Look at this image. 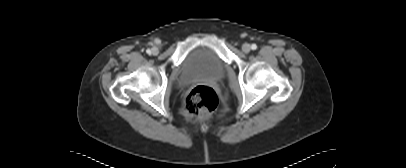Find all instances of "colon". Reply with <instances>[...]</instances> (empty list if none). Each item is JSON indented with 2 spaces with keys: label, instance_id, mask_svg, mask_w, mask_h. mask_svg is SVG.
<instances>
[{
  "label": "colon",
  "instance_id": "5ec220e1",
  "mask_svg": "<svg viewBox=\"0 0 406 168\" xmlns=\"http://www.w3.org/2000/svg\"><path fill=\"white\" fill-rule=\"evenodd\" d=\"M218 105L216 92L211 86L197 85L184 102V114L188 120L197 121L209 117Z\"/></svg>",
  "mask_w": 406,
  "mask_h": 168
}]
</instances>
